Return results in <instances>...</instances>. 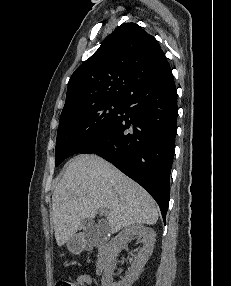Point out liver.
Returning <instances> with one entry per match:
<instances>
[{
	"mask_svg": "<svg viewBox=\"0 0 231 286\" xmlns=\"http://www.w3.org/2000/svg\"><path fill=\"white\" fill-rule=\"evenodd\" d=\"M107 211L111 233L157 222L159 209L149 193L112 164L94 154L75 156L52 196L55 239L63 246L82 228V219Z\"/></svg>",
	"mask_w": 231,
	"mask_h": 286,
	"instance_id": "1",
	"label": "liver"
}]
</instances>
